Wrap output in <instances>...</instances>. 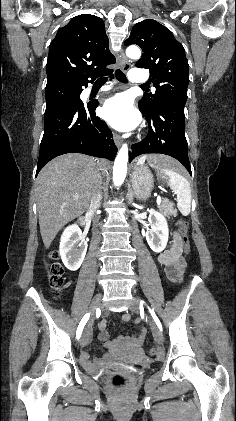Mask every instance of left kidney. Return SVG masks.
Masks as SVG:
<instances>
[{
  "instance_id": "left-kidney-1",
  "label": "left kidney",
  "mask_w": 236,
  "mask_h": 421,
  "mask_svg": "<svg viewBox=\"0 0 236 421\" xmlns=\"http://www.w3.org/2000/svg\"><path fill=\"white\" fill-rule=\"evenodd\" d=\"M150 215L148 217V221L150 223V231H147L145 237L146 241L155 253H161L164 251L169 237V229L167 225V221L161 213L158 211H154V208H151L149 211Z\"/></svg>"
}]
</instances>
